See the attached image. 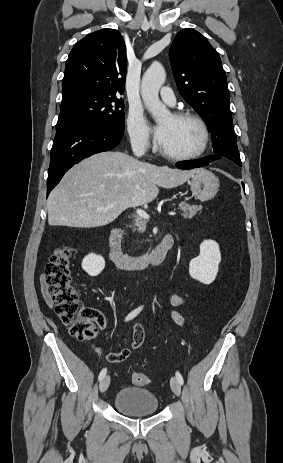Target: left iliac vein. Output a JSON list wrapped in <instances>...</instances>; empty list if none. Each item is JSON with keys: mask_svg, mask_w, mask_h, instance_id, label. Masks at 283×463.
Masks as SVG:
<instances>
[{"mask_svg": "<svg viewBox=\"0 0 283 463\" xmlns=\"http://www.w3.org/2000/svg\"><path fill=\"white\" fill-rule=\"evenodd\" d=\"M170 386H171V389L172 391L177 395L179 396L181 394V384L179 383V381L177 380V378L175 377H172L171 380H170Z\"/></svg>", "mask_w": 283, "mask_h": 463, "instance_id": "left-iliac-vein-1", "label": "left iliac vein"}]
</instances>
